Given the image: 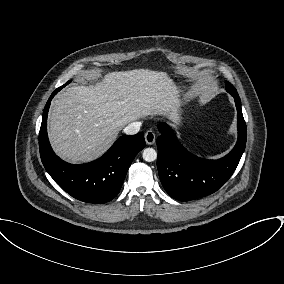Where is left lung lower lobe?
<instances>
[{"instance_id": "1", "label": "left lung lower lobe", "mask_w": 284, "mask_h": 284, "mask_svg": "<svg viewBox=\"0 0 284 284\" xmlns=\"http://www.w3.org/2000/svg\"><path fill=\"white\" fill-rule=\"evenodd\" d=\"M238 119V141L232 151L218 160H206L189 153L164 123L158 128L157 168L166 192L179 201H190L210 195L232 176L246 145L247 130L241 101L234 97Z\"/></svg>"}]
</instances>
